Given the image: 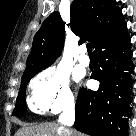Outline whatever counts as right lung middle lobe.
I'll use <instances>...</instances> for the list:
<instances>
[{
  "label": "right lung middle lobe",
  "instance_id": "obj_1",
  "mask_svg": "<svg viewBox=\"0 0 136 136\" xmlns=\"http://www.w3.org/2000/svg\"><path fill=\"white\" fill-rule=\"evenodd\" d=\"M36 74L37 73L32 74V75L27 76V77L22 79L20 91H19V94H18V97H17V100H16L15 109L13 111L14 116H21V115L25 114V111H26L25 88H26V85L28 84V82L30 81V79Z\"/></svg>",
  "mask_w": 136,
  "mask_h": 136
}]
</instances>
